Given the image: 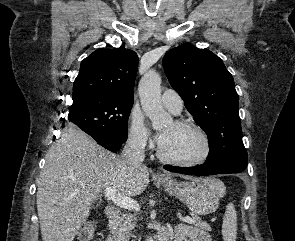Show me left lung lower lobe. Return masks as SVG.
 <instances>
[{"instance_id": "obj_1", "label": "left lung lower lobe", "mask_w": 295, "mask_h": 241, "mask_svg": "<svg viewBox=\"0 0 295 241\" xmlns=\"http://www.w3.org/2000/svg\"><path fill=\"white\" fill-rule=\"evenodd\" d=\"M164 169L186 175L207 176L214 174L241 173L246 168L225 163H204L195 167H176L165 165Z\"/></svg>"}]
</instances>
